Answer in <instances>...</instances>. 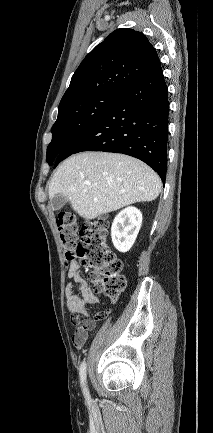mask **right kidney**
I'll return each instance as SVG.
<instances>
[{"instance_id": "right-kidney-1", "label": "right kidney", "mask_w": 213, "mask_h": 433, "mask_svg": "<svg viewBox=\"0 0 213 433\" xmlns=\"http://www.w3.org/2000/svg\"><path fill=\"white\" fill-rule=\"evenodd\" d=\"M142 223V214L135 207H127L117 214L111 227L115 248L127 252L134 244Z\"/></svg>"}]
</instances>
